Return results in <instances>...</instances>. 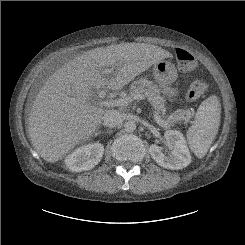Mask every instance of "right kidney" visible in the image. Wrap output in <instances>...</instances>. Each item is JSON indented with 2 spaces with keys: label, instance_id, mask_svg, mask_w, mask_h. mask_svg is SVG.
I'll list each match as a JSON object with an SVG mask.
<instances>
[{
  "label": "right kidney",
  "instance_id": "right-kidney-1",
  "mask_svg": "<svg viewBox=\"0 0 245 245\" xmlns=\"http://www.w3.org/2000/svg\"><path fill=\"white\" fill-rule=\"evenodd\" d=\"M104 146L92 143L77 148L67 155L64 162L66 167L73 172H81L94 168L102 159Z\"/></svg>",
  "mask_w": 245,
  "mask_h": 245
}]
</instances>
